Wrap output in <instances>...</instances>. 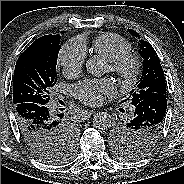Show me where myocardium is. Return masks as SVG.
<instances>
[{
    "label": "myocardium",
    "instance_id": "myocardium-1",
    "mask_svg": "<svg viewBox=\"0 0 184 184\" xmlns=\"http://www.w3.org/2000/svg\"><path fill=\"white\" fill-rule=\"evenodd\" d=\"M108 68L109 71L116 75L120 80L127 84H131L138 76L140 60L134 53L127 52L115 60L108 61Z\"/></svg>",
    "mask_w": 184,
    "mask_h": 184
}]
</instances>
